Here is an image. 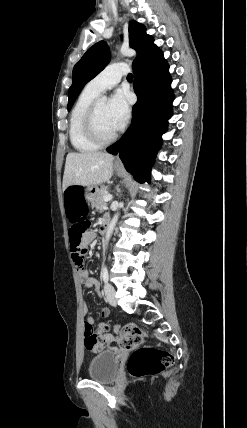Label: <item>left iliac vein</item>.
Listing matches in <instances>:
<instances>
[{"mask_svg": "<svg viewBox=\"0 0 247 428\" xmlns=\"http://www.w3.org/2000/svg\"><path fill=\"white\" fill-rule=\"evenodd\" d=\"M104 292H105L106 299L110 303V305L116 306L117 300L115 297L114 287L111 284L106 283L104 286Z\"/></svg>", "mask_w": 247, "mask_h": 428, "instance_id": "1", "label": "left iliac vein"}]
</instances>
